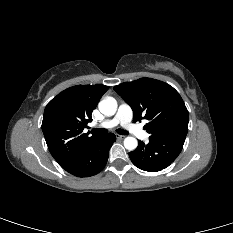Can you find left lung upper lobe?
I'll list each match as a JSON object with an SVG mask.
<instances>
[{"mask_svg": "<svg viewBox=\"0 0 233 233\" xmlns=\"http://www.w3.org/2000/svg\"><path fill=\"white\" fill-rule=\"evenodd\" d=\"M114 90L128 103L134 113L133 121L147 119L144 129L149 139H183L188 132V110L179 93L169 84L141 78L125 82Z\"/></svg>", "mask_w": 233, "mask_h": 233, "instance_id": "left-lung-upper-lobe-1", "label": "left lung upper lobe"}]
</instances>
